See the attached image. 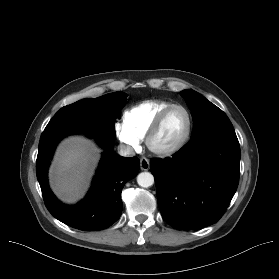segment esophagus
Masks as SVG:
<instances>
[{"label": "esophagus", "instance_id": "obj_1", "mask_svg": "<svg viewBox=\"0 0 279 279\" xmlns=\"http://www.w3.org/2000/svg\"><path fill=\"white\" fill-rule=\"evenodd\" d=\"M140 168L142 169V170H148L149 168H150V162H149V160L147 159V158H141V160H140Z\"/></svg>", "mask_w": 279, "mask_h": 279}]
</instances>
